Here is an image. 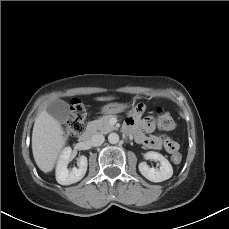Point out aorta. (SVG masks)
<instances>
[{
    "label": "aorta",
    "instance_id": "1",
    "mask_svg": "<svg viewBox=\"0 0 229 229\" xmlns=\"http://www.w3.org/2000/svg\"><path fill=\"white\" fill-rule=\"evenodd\" d=\"M108 141L111 144H117L119 142V135L117 133H111L108 135Z\"/></svg>",
    "mask_w": 229,
    "mask_h": 229
}]
</instances>
